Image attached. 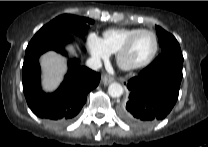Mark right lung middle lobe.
Listing matches in <instances>:
<instances>
[{"label": "right lung middle lobe", "instance_id": "obj_1", "mask_svg": "<svg viewBox=\"0 0 208 147\" xmlns=\"http://www.w3.org/2000/svg\"><path fill=\"white\" fill-rule=\"evenodd\" d=\"M91 23H93V20L86 17L63 14L44 25L34 35L31 41L40 40L61 31L73 33L82 37L87 33L89 24Z\"/></svg>", "mask_w": 208, "mask_h": 147}]
</instances>
